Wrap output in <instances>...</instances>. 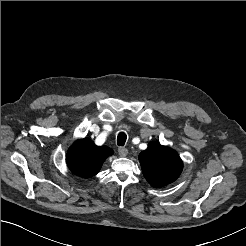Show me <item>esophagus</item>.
<instances>
[{
  "label": "esophagus",
  "instance_id": "esophagus-1",
  "mask_svg": "<svg viewBox=\"0 0 246 246\" xmlns=\"http://www.w3.org/2000/svg\"><path fill=\"white\" fill-rule=\"evenodd\" d=\"M118 153L121 157H125L128 154V149L125 147H119Z\"/></svg>",
  "mask_w": 246,
  "mask_h": 246
}]
</instances>
